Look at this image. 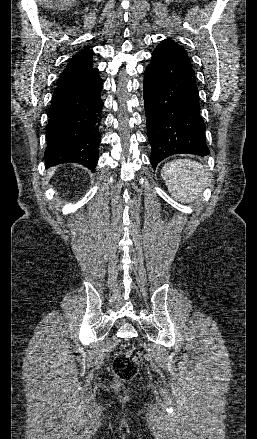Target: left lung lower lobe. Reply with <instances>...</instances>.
Wrapping results in <instances>:
<instances>
[{
	"label": "left lung lower lobe",
	"instance_id": "obj_1",
	"mask_svg": "<svg viewBox=\"0 0 257 439\" xmlns=\"http://www.w3.org/2000/svg\"><path fill=\"white\" fill-rule=\"evenodd\" d=\"M143 94L154 169L174 154L210 153L195 73L182 46L166 39L155 48L145 70Z\"/></svg>",
	"mask_w": 257,
	"mask_h": 439
}]
</instances>
